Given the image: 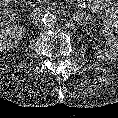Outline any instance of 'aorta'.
I'll use <instances>...</instances> for the list:
<instances>
[{
	"label": "aorta",
	"instance_id": "obj_1",
	"mask_svg": "<svg viewBox=\"0 0 118 118\" xmlns=\"http://www.w3.org/2000/svg\"><path fill=\"white\" fill-rule=\"evenodd\" d=\"M57 22V17L51 13H47L43 17V23L45 26L51 27Z\"/></svg>",
	"mask_w": 118,
	"mask_h": 118
}]
</instances>
